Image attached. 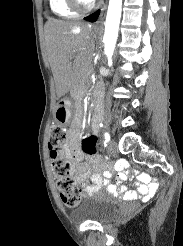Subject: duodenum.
I'll list each match as a JSON object with an SVG mask.
<instances>
[{
    "label": "duodenum",
    "instance_id": "410a0bca",
    "mask_svg": "<svg viewBox=\"0 0 183 246\" xmlns=\"http://www.w3.org/2000/svg\"><path fill=\"white\" fill-rule=\"evenodd\" d=\"M101 95V89L98 88L97 91H96V98L98 99Z\"/></svg>",
    "mask_w": 183,
    "mask_h": 246
}]
</instances>
